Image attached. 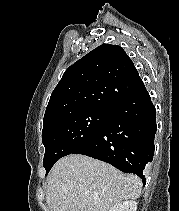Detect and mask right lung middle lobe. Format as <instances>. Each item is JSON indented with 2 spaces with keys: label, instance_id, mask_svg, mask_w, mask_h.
Returning a JSON list of instances; mask_svg holds the SVG:
<instances>
[{
  "label": "right lung middle lobe",
  "instance_id": "dd1d6c3e",
  "mask_svg": "<svg viewBox=\"0 0 179 211\" xmlns=\"http://www.w3.org/2000/svg\"><path fill=\"white\" fill-rule=\"evenodd\" d=\"M112 109L90 108L60 117L43 127L45 146L43 166L46 174L63 156L92 140L110 117Z\"/></svg>",
  "mask_w": 179,
  "mask_h": 211
}]
</instances>
